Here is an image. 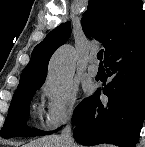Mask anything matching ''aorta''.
I'll return each instance as SVG.
<instances>
[{
  "label": "aorta",
  "mask_w": 145,
  "mask_h": 147,
  "mask_svg": "<svg viewBox=\"0 0 145 147\" xmlns=\"http://www.w3.org/2000/svg\"><path fill=\"white\" fill-rule=\"evenodd\" d=\"M75 51L70 45L60 47L52 56L48 66V81L57 88L66 86L74 74Z\"/></svg>",
  "instance_id": "aorta-1"
}]
</instances>
